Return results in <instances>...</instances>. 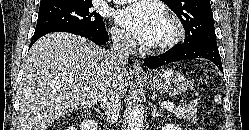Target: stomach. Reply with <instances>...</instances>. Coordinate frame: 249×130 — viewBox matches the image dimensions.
<instances>
[{"instance_id": "0dacf381", "label": "stomach", "mask_w": 249, "mask_h": 130, "mask_svg": "<svg viewBox=\"0 0 249 130\" xmlns=\"http://www.w3.org/2000/svg\"><path fill=\"white\" fill-rule=\"evenodd\" d=\"M151 89L166 95L184 93L189 85L187 78L179 71L165 69L143 80Z\"/></svg>"}]
</instances>
